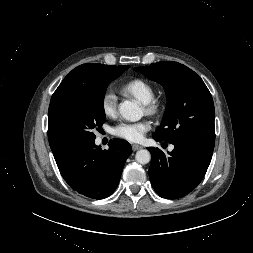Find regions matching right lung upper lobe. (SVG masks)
<instances>
[{
    "label": "right lung upper lobe",
    "mask_w": 253,
    "mask_h": 253,
    "mask_svg": "<svg viewBox=\"0 0 253 253\" xmlns=\"http://www.w3.org/2000/svg\"><path fill=\"white\" fill-rule=\"evenodd\" d=\"M123 66V65H121ZM121 66L103 65L98 63L83 64L73 69L61 82L53 95L60 91L71 88L85 87L92 84L99 74L111 73ZM49 138V143L52 152H56L62 147L56 145L53 140Z\"/></svg>",
    "instance_id": "right-lung-upper-lobe-1"
}]
</instances>
